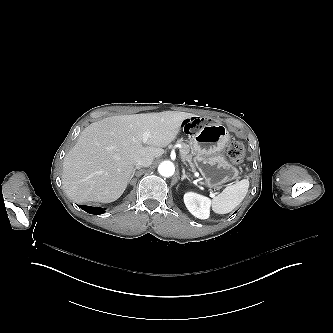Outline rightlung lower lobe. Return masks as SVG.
Wrapping results in <instances>:
<instances>
[{"instance_id": "right-lung-lower-lobe-1", "label": "right lung lower lobe", "mask_w": 333, "mask_h": 333, "mask_svg": "<svg viewBox=\"0 0 333 333\" xmlns=\"http://www.w3.org/2000/svg\"><path fill=\"white\" fill-rule=\"evenodd\" d=\"M80 208H82L84 211L90 213V214H102L104 213V209L100 208V207H91V206H85V205H80Z\"/></svg>"}]
</instances>
